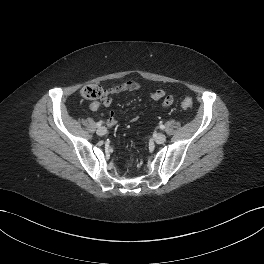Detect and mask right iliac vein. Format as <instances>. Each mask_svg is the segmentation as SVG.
I'll use <instances>...</instances> for the list:
<instances>
[{"label":"right iliac vein","mask_w":264,"mask_h":264,"mask_svg":"<svg viewBox=\"0 0 264 264\" xmlns=\"http://www.w3.org/2000/svg\"><path fill=\"white\" fill-rule=\"evenodd\" d=\"M97 135L103 136L107 133V129L105 127H99L96 131Z\"/></svg>","instance_id":"63e3f726"}]
</instances>
